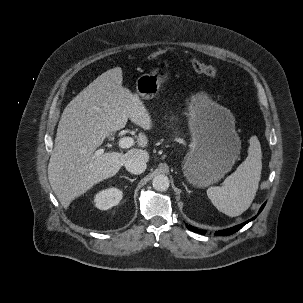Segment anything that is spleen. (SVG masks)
Wrapping results in <instances>:
<instances>
[{"label": "spleen", "mask_w": 303, "mask_h": 303, "mask_svg": "<svg viewBox=\"0 0 303 303\" xmlns=\"http://www.w3.org/2000/svg\"><path fill=\"white\" fill-rule=\"evenodd\" d=\"M261 145L256 136L249 139L248 156L229 175L223 186L210 187L207 196L222 213L236 217L251 205L258 190L262 170Z\"/></svg>", "instance_id": "3e777b00"}]
</instances>
